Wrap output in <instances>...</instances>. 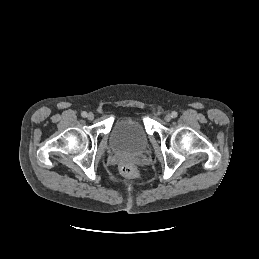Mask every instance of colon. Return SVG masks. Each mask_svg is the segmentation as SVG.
Masks as SVG:
<instances>
[{
	"instance_id": "obj_1",
	"label": "colon",
	"mask_w": 259,
	"mask_h": 259,
	"mask_svg": "<svg viewBox=\"0 0 259 259\" xmlns=\"http://www.w3.org/2000/svg\"><path fill=\"white\" fill-rule=\"evenodd\" d=\"M120 172L126 177H136L138 174L137 169L130 163H123L120 166Z\"/></svg>"
}]
</instances>
